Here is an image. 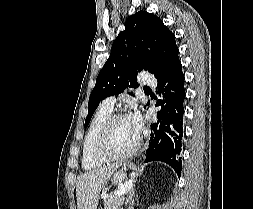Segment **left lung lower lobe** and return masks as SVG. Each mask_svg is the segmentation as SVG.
Here are the masks:
<instances>
[{"mask_svg":"<svg viewBox=\"0 0 253 209\" xmlns=\"http://www.w3.org/2000/svg\"><path fill=\"white\" fill-rule=\"evenodd\" d=\"M185 77L180 60L159 79L163 98L157 123L151 124V138L146 162L161 161L169 164L180 177L182 161L180 157L183 137Z\"/></svg>","mask_w":253,"mask_h":209,"instance_id":"0a47b994","label":"left lung lower lobe"}]
</instances>
